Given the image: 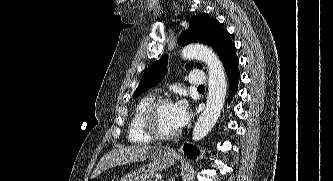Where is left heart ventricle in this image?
Wrapping results in <instances>:
<instances>
[{
  "label": "left heart ventricle",
  "mask_w": 333,
  "mask_h": 181,
  "mask_svg": "<svg viewBox=\"0 0 333 181\" xmlns=\"http://www.w3.org/2000/svg\"><path fill=\"white\" fill-rule=\"evenodd\" d=\"M157 124L161 131L171 133L178 130L174 118V105L166 104L161 107L157 116Z\"/></svg>",
  "instance_id": "1"
}]
</instances>
